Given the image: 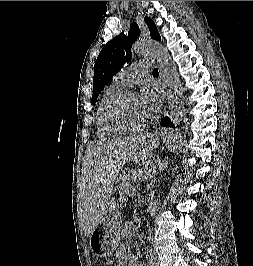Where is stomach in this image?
<instances>
[{
  "instance_id": "0dacf381",
  "label": "stomach",
  "mask_w": 253,
  "mask_h": 266,
  "mask_svg": "<svg viewBox=\"0 0 253 266\" xmlns=\"http://www.w3.org/2000/svg\"><path fill=\"white\" fill-rule=\"evenodd\" d=\"M161 139L167 144L181 142L179 135L167 131L161 133ZM158 145L159 140L144 141L136 150L133 159L135 161L149 159ZM121 224V212L115 202H110L100 226H97L90 236V248L97 257L110 256L118 247L121 236Z\"/></svg>"
}]
</instances>
